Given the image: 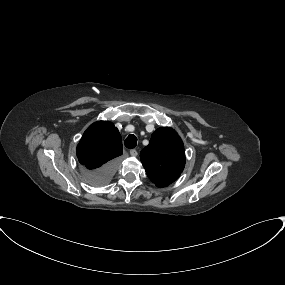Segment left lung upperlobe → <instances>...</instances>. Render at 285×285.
<instances>
[{"mask_svg":"<svg viewBox=\"0 0 285 285\" xmlns=\"http://www.w3.org/2000/svg\"><path fill=\"white\" fill-rule=\"evenodd\" d=\"M147 176L157 187L173 183L185 166L184 146L179 135L169 127L158 128L140 153Z\"/></svg>","mask_w":285,"mask_h":285,"instance_id":"5c2ea615","label":"left lung upper lobe"}]
</instances>
